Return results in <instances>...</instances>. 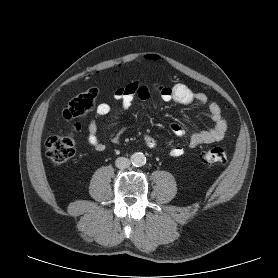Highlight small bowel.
Wrapping results in <instances>:
<instances>
[{"instance_id": "1", "label": "small bowel", "mask_w": 278, "mask_h": 278, "mask_svg": "<svg viewBox=\"0 0 278 278\" xmlns=\"http://www.w3.org/2000/svg\"><path fill=\"white\" fill-rule=\"evenodd\" d=\"M155 91L160 99L165 102H174L183 106H188L193 103L207 106L213 125L210 128L202 129L191 134L189 138V145L191 147L217 142L225 136L227 121L223 116L221 107L216 102H208L205 93L194 92L183 83H176L172 86L157 85L155 86ZM151 93L152 89L149 86L134 81L117 88L114 92V98L121 103L123 109L127 110L136 98L147 101L150 99ZM110 111L111 105L109 103L103 102L98 104L88 125L87 141L97 151H104L106 147L98 137L96 120L107 115ZM126 130L127 126L121 127L112 137V142L115 144L118 143ZM170 130L176 136H183L186 133L184 126L180 123L171 124ZM143 139L146 146L150 149H156L158 147L157 140L151 135L145 134ZM168 153L171 157L177 158L184 154V148L180 145H174L169 148Z\"/></svg>"}]
</instances>
